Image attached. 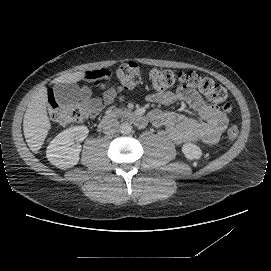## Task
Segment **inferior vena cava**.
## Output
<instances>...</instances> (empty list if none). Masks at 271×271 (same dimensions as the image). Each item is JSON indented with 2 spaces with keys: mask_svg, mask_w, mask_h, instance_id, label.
Here are the masks:
<instances>
[{
  "mask_svg": "<svg viewBox=\"0 0 271 271\" xmlns=\"http://www.w3.org/2000/svg\"><path fill=\"white\" fill-rule=\"evenodd\" d=\"M99 125L106 135L116 133L120 126L119 121L111 115L104 116Z\"/></svg>",
  "mask_w": 271,
  "mask_h": 271,
  "instance_id": "inferior-vena-cava-1",
  "label": "inferior vena cava"
}]
</instances>
